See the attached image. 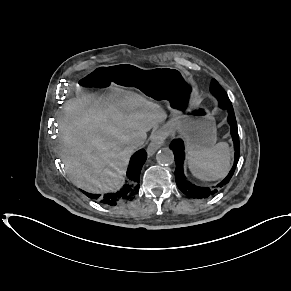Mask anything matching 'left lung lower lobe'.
I'll return each mask as SVG.
<instances>
[{
	"label": "left lung lower lobe",
	"mask_w": 291,
	"mask_h": 291,
	"mask_svg": "<svg viewBox=\"0 0 291 291\" xmlns=\"http://www.w3.org/2000/svg\"><path fill=\"white\" fill-rule=\"evenodd\" d=\"M219 101V106L223 109H227L229 112L228 115V123L231 127V136L234 143L235 149V160L232 169L230 170L229 174L226 176L224 180H222L219 184L214 187H201L196 186L184 175L183 172V162H184V144L181 139H175L172 141L170 148L174 152L175 156V180L178 188L188 197L197 198V199H205L211 197L215 193H217L221 188H223L231 179L234 174L239 155H240V145H239V135H238V128L236 123V118L234 114V110L230 100L220 96L217 98Z\"/></svg>",
	"instance_id": "1"
}]
</instances>
